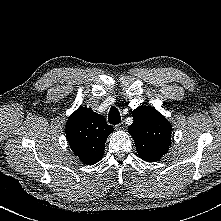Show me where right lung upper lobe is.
Returning a JSON list of instances; mask_svg holds the SVG:
<instances>
[{"instance_id":"right-lung-upper-lobe-1","label":"right lung upper lobe","mask_w":221,"mask_h":221,"mask_svg":"<svg viewBox=\"0 0 221 221\" xmlns=\"http://www.w3.org/2000/svg\"><path fill=\"white\" fill-rule=\"evenodd\" d=\"M113 128L105 118L86 107L78 108L68 119L66 137L73 153L86 165L99 162Z\"/></svg>"}]
</instances>
